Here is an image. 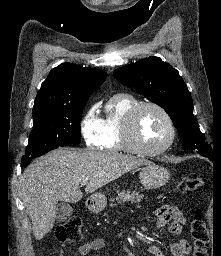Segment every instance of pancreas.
Instances as JSON below:
<instances>
[{
	"label": "pancreas",
	"instance_id": "cf45deb5",
	"mask_svg": "<svg viewBox=\"0 0 221 256\" xmlns=\"http://www.w3.org/2000/svg\"><path fill=\"white\" fill-rule=\"evenodd\" d=\"M143 199V195H140L139 192H130L128 191H122L119 193L116 197V201L118 202H131V203H139Z\"/></svg>",
	"mask_w": 221,
	"mask_h": 256
}]
</instances>
